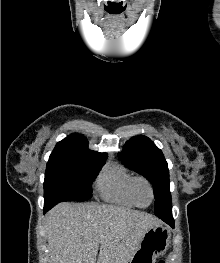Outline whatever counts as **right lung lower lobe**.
I'll list each match as a JSON object with an SVG mask.
<instances>
[{
  "label": "right lung lower lobe",
  "mask_w": 220,
  "mask_h": 263,
  "mask_svg": "<svg viewBox=\"0 0 220 263\" xmlns=\"http://www.w3.org/2000/svg\"><path fill=\"white\" fill-rule=\"evenodd\" d=\"M53 206H54L53 204H45V206H44V213L47 212Z\"/></svg>",
  "instance_id": "obj_1"
}]
</instances>
